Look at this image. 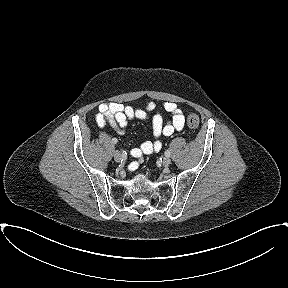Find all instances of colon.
I'll use <instances>...</instances> for the list:
<instances>
[{"mask_svg": "<svg viewBox=\"0 0 288 288\" xmlns=\"http://www.w3.org/2000/svg\"><path fill=\"white\" fill-rule=\"evenodd\" d=\"M200 120L197 115H190L187 119L188 128L192 132H196L199 128Z\"/></svg>", "mask_w": 288, "mask_h": 288, "instance_id": "5ec220e1", "label": "colon"}]
</instances>
